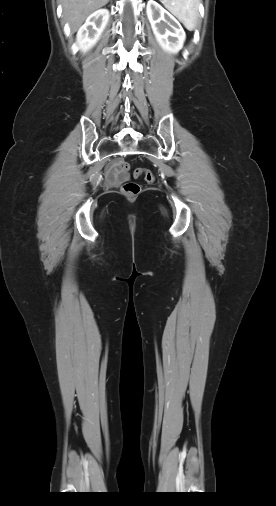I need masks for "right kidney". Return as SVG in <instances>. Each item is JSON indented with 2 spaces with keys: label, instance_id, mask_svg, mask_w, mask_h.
<instances>
[{
  "label": "right kidney",
  "instance_id": "obj_1",
  "mask_svg": "<svg viewBox=\"0 0 276 506\" xmlns=\"http://www.w3.org/2000/svg\"><path fill=\"white\" fill-rule=\"evenodd\" d=\"M109 19L107 9H99L92 13L77 33V45L83 52L91 49L99 40Z\"/></svg>",
  "mask_w": 276,
  "mask_h": 506
}]
</instances>
